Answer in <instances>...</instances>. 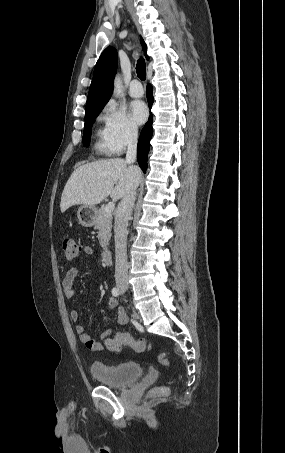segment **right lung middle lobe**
<instances>
[{
  "label": "right lung middle lobe",
  "mask_w": 285,
  "mask_h": 453,
  "mask_svg": "<svg viewBox=\"0 0 285 453\" xmlns=\"http://www.w3.org/2000/svg\"><path fill=\"white\" fill-rule=\"evenodd\" d=\"M101 110L93 111L90 113L85 114V126L83 132V145L85 147L89 146L90 143V136H91V127L95 121V118L98 116Z\"/></svg>",
  "instance_id": "dd1d6c3e"
}]
</instances>
